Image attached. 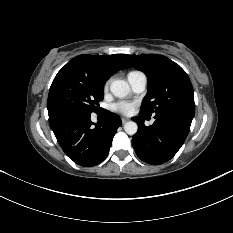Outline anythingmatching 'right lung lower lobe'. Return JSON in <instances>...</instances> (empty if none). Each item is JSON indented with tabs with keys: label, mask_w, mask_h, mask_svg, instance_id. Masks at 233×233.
<instances>
[{
	"label": "right lung lower lobe",
	"mask_w": 233,
	"mask_h": 233,
	"mask_svg": "<svg viewBox=\"0 0 233 233\" xmlns=\"http://www.w3.org/2000/svg\"><path fill=\"white\" fill-rule=\"evenodd\" d=\"M49 125L65 154L76 164L91 167L108 155L120 117L105 111L104 120L93 123L91 113L73 108L48 110Z\"/></svg>",
	"instance_id": "98d812e1"
}]
</instances>
